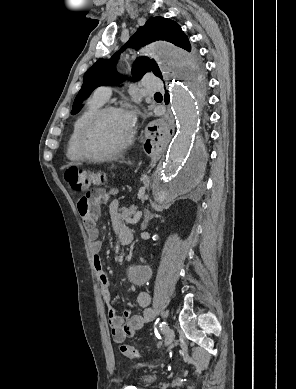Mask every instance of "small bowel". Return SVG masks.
<instances>
[{"label":"small bowel","mask_w":296,"mask_h":389,"mask_svg":"<svg viewBox=\"0 0 296 389\" xmlns=\"http://www.w3.org/2000/svg\"><path fill=\"white\" fill-rule=\"evenodd\" d=\"M116 193V189L105 190L103 188H96L79 199L77 208L90 240V248L93 252V264L100 282L101 294L106 303L109 305L108 323L111 337L115 343H122L126 338L133 336L138 330H140L145 323L151 321L153 314L151 309L148 308L151 302V297L145 290H141L137 294L138 305L146 308L143 314H134L132 310H127L124 315L121 316L116 313L114 307L112 306L109 279L103 270L100 257L102 242L99 239L97 220L101 213V205L112 199ZM118 207L119 203L117 200H113L109 207V214L113 229L121 242L123 239H129L131 242L132 232L121 223L118 214Z\"/></svg>","instance_id":"c3829d8e"}]
</instances>
